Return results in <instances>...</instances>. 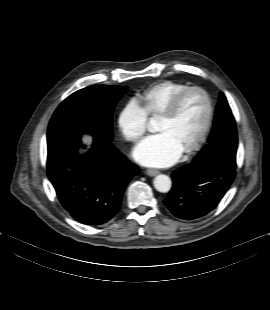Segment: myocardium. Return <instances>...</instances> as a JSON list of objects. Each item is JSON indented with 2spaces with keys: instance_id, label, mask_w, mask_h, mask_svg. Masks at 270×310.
I'll use <instances>...</instances> for the list:
<instances>
[{
  "instance_id": "obj_1",
  "label": "myocardium",
  "mask_w": 270,
  "mask_h": 310,
  "mask_svg": "<svg viewBox=\"0 0 270 310\" xmlns=\"http://www.w3.org/2000/svg\"><path fill=\"white\" fill-rule=\"evenodd\" d=\"M191 92H199L201 93L206 101V117L204 121L203 128L200 132V134L196 137V139L186 148L183 150L182 153L184 154H190L197 150L203 142L206 140L208 133L210 131L211 125H212V120H213V113H214V108H213V103L211 100L210 95L208 92L203 89L202 87L199 86H189L181 91H179L177 94L173 96V98L170 100L168 105L161 111L159 116L164 119H171L175 116L177 113L180 103L182 99Z\"/></svg>"
}]
</instances>
